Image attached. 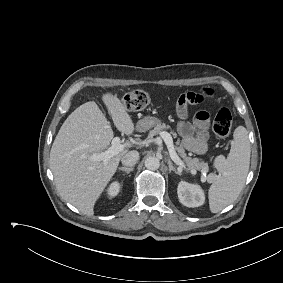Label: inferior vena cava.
<instances>
[{
    "label": "inferior vena cava",
    "mask_w": 283,
    "mask_h": 283,
    "mask_svg": "<svg viewBox=\"0 0 283 283\" xmlns=\"http://www.w3.org/2000/svg\"><path fill=\"white\" fill-rule=\"evenodd\" d=\"M138 160L139 153L137 151H130L122 157L121 162L127 167H132L137 163Z\"/></svg>",
    "instance_id": "inferior-vena-cava-1"
}]
</instances>
